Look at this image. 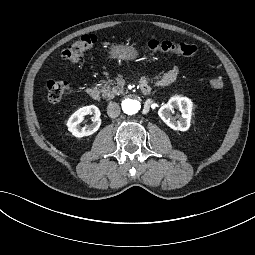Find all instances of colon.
Segmentation results:
<instances>
[{"label":"colon","mask_w":255,"mask_h":255,"mask_svg":"<svg viewBox=\"0 0 255 255\" xmlns=\"http://www.w3.org/2000/svg\"><path fill=\"white\" fill-rule=\"evenodd\" d=\"M97 38L93 34L82 36L77 41L70 44L62 52V58L71 63H77L84 54L95 46ZM146 49L152 53L177 54L186 57L193 56L196 53V46L184 42L173 43L170 41L149 40L146 42ZM213 89L223 88V81L220 78H214L209 81ZM69 89L66 81L49 80L47 82L48 99L52 103L59 102L65 96Z\"/></svg>","instance_id":"colon-1"}]
</instances>
